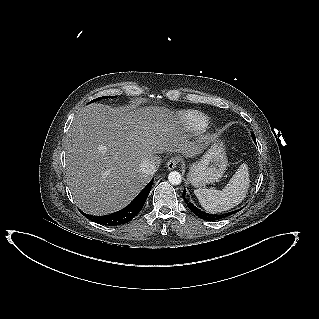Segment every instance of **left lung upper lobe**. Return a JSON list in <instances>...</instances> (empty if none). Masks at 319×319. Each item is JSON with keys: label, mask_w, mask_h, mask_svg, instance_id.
<instances>
[{"label": "left lung upper lobe", "mask_w": 319, "mask_h": 319, "mask_svg": "<svg viewBox=\"0 0 319 319\" xmlns=\"http://www.w3.org/2000/svg\"><path fill=\"white\" fill-rule=\"evenodd\" d=\"M252 138H253V140H256V139H255V135H254V133H252Z\"/></svg>", "instance_id": "left-lung-upper-lobe-1"}]
</instances>
